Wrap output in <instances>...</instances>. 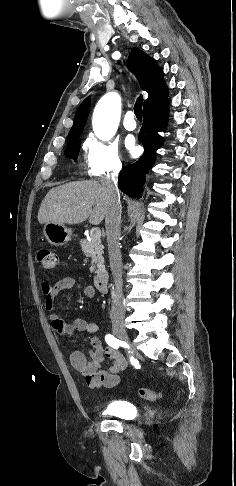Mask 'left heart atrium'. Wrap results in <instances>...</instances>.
<instances>
[{
    "instance_id": "left-heart-atrium-1",
    "label": "left heart atrium",
    "mask_w": 236,
    "mask_h": 486,
    "mask_svg": "<svg viewBox=\"0 0 236 486\" xmlns=\"http://www.w3.org/2000/svg\"><path fill=\"white\" fill-rule=\"evenodd\" d=\"M128 149L133 156L138 153V148L133 143L128 145Z\"/></svg>"
}]
</instances>
